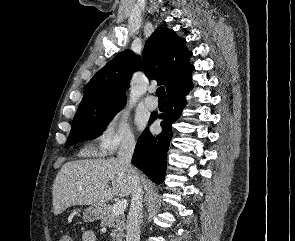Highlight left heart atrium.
Masks as SVG:
<instances>
[{"label": "left heart atrium", "instance_id": "obj_1", "mask_svg": "<svg viewBox=\"0 0 295 241\" xmlns=\"http://www.w3.org/2000/svg\"><path fill=\"white\" fill-rule=\"evenodd\" d=\"M139 125H140V127H142V126H143V122H142V121H140V122H139Z\"/></svg>", "mask_w": 295, "mask_h": 241}]
</instances>
